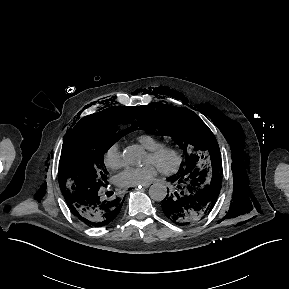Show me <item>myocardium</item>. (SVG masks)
Masks as SVG:
<instances>
[{"label":"myocardium","instance_id":"obj_1","mask_svg":"<svg viewBox=\"0 0 289 289\" xmlns=\"http://www.w3.org/2000/svg\"><path fill=\"white\" fill-rule=\"evenodd\" d=\"M148 154L157 164V168L164 174H173L179 170L183 163L182 151L174 145H161L148 150ZM169 159V162H165Z\"/></svg>","mask_w":289,"mask_h":289}]
</instances>
